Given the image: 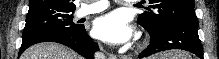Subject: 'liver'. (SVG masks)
<instances>
[{"instance_id": "liver-1", "label": "liver", "mask_w": 219, "mask_h": 59, "mask_svg": "<svg viewBox=\"0 0 219 59\" xmlns=\"http://www.w3.org/2000/svg\"><path fill=\"white\" fill-rule=\"evenodd\" d=\"M20 59H82V57L65 46L45 42L25 50Z\"/></svg>"}]
</instances>
